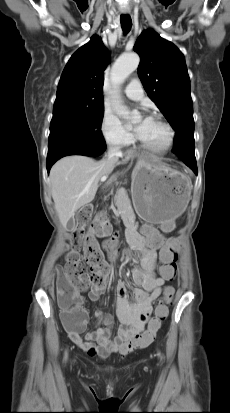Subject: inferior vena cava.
I'll return each instance as SVG.
<instances>
[{
	"instance_id": "602c4592",
	"label": "inferior vena cava",
	"mask_w": 230,
	"mask_h": 413,
	"mask_svg": "<svg viewBox=\"0 0 230 413\" xmlns=\"http://www.w3.org/2000/svg\"><path fill=\"white\" fill-rule=\"evenodd\" d=\"M121 154L119 147L114 145V146H110L108 148V152H107V158L111 161H117L119 155Z\"/></svg>"
}]
</instances>
